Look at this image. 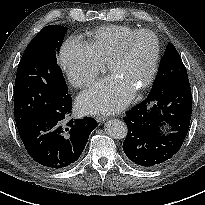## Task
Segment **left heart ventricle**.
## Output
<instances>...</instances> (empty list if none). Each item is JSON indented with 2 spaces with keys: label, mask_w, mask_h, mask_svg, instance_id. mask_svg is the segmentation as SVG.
I'll use <instances>...</instances> for the list:
<instances>
[{
  "label": "left heart ventricle",
  "mask_w": 205,
  "mask_h": 205,
  "mask_svg": "<svg viewBox=\"0 0 205 205\" xmlns=\"http://www.w3.org/2000/svg\"><path fill=\"white\" fill-rule=\"evenodd\" d=\"M153 56V39L148 35H141L130 43L125 58L107 69L135 92L147 78Z\"/></svg>",
  "instance_id": "obj_1"
}]
</instances>
